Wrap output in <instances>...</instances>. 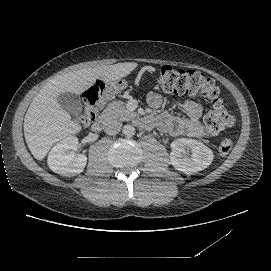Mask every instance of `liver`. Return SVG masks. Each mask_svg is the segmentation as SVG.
<instances>
[{
    "instance_id": "6515ba94",
    "label": "liver",
    "mask_w": 271,
    "mask_h": 271,
    "mask_svg": "<svg viewBox=\"0 0 271 271\" xmlns=\"http://www.w3.org/2000/svg\"><path fill=\"white\" fill-rule=\"evenodd\" d=\"M137 66L135 62H125L88 67L50 79L33 98L24 118V136L34 158L43 160L56 142L77 134L82 129L58 104L60 94L69 92L80 95L97 79L105 83L119 80L129 75Z\"/></svg>"
}]
</instances>
